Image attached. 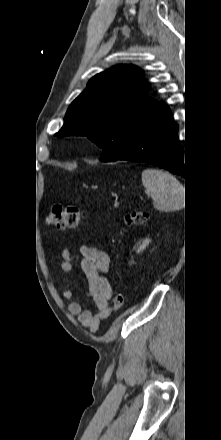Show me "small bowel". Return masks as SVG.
<instances>
[{"label":"small bowel","mask_w":221,"mask_h":440,"mask_svg":"<svg viewBox=\"0 0 221 440\" xmlns=\"http://www.w3.org/2000/svg\"><path fill=\"white\" fill-rule=\"evenodd\" d=\"M60 268L68 273L74 272L73 261L79 260L86 281V295L95 304V311L83 310L78 301L68 305L69 313L78 315L80 322L91 332L98 330L102 320L110 315L109 300L112 297V287L106 275L109 271V256L102 250L84 245L79 255L71 254L67 249L61 252ZM63 297L67 300L74 298V291L66 289Z\"/></svg>","instance_id":"c3829d8e"}]
</instances>
